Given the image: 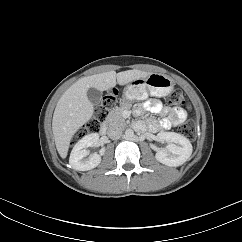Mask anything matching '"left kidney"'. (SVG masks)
Segmentation results:
<instances>
[{"mask_svg": "<svg viewBox=\"0 0 242 242\" xmlns=\"http://www.w3.org/2000/svg\"><path fill=\"white\" fill-rule=\"evenodd\" d=\"M161 143H167L165 148L156 151L155 158L158 162L177 167L184 164L192 154V144L184 136L175 132H163L158 134Z\"/></svg>", "mask_w": 242, "mask_h": 242, "instance_id": "5707ae66", "label": "left kidney"}]
</instances>
